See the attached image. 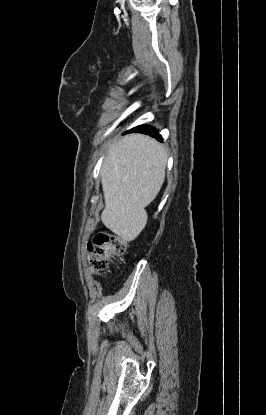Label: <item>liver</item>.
<instances>
[{"mask_svg": "<svg viewBox=\"0 0 266 415\" xmlns=\"http://www.w3.org/2000/svg\"><path fill=\"white\" fill-rule=\"evenodd\" d=\"M164 145L142 134H130L109 147L101 169L105 208L103 224L124 241H133L147 223L145 207L165 179Z\"/></svg>", "mask_w": 266, "mask_h": 415, "instance_id": "obj_1", "label": "liver"}]
</instances>
